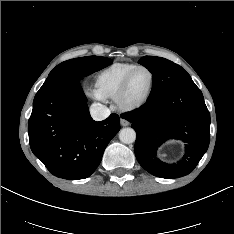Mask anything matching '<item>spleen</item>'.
Wrapping results in <instances>:
<instances>
[{"mask_svg": "<svg viewBox=\"0 0 234 234\" xmlns=\"http://www.w3.org/2000/svg\"><path fill=\"white\" fill-rule=\"evenodd\" d=\"M161 158H166L167 157V154H160L159 155Z\"/></svg>", "mask_w": 234, "mask_h": 234, "instance_id": "obj_1", "label": "spleen"}]
</instances>
